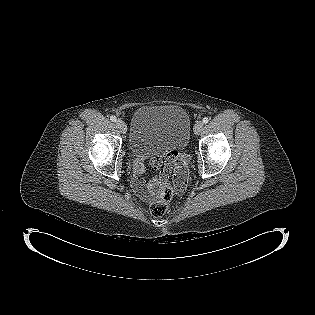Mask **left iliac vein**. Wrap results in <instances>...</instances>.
<instances>
[{
	"instance_id": "1",
	"label": "left iliac vein",
	"mask_w": 315,
	"mask_h": 315,
	"mask_svg": "<svg viewBox=\"0 0 315 315\" xmlns=\"http://www.w3.org/2000/svg\"><path fill=\"white\" fill-rule=\"evenodd\" d=\"M203 126L202 122H197L194 126V133L199 134L203 130Z\"/></svg>"
}]
</instances>
